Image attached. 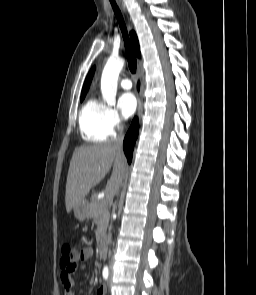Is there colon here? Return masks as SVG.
<instances>
[{
	"mask_svg": "<svg viewBox=\"0 0 256 295\" xmlns=\"http://www.w3.org/2000/svg\"><path fill=\"white\" fill-rule=\"evenodd\" d=\"M60 264L64 269L73 271L79 263V254L74 247L68 243L61 246Z\"/></svg>",
	"mask_w": 256,
	"mask_h": 295,
	"instance_id": "5ec220e1",
	"label": "colon"
}]
</instances>
